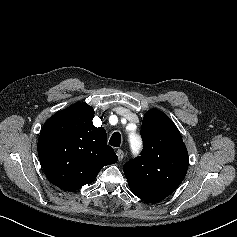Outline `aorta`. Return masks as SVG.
Masks as SVG:
<instances>
[{
  "label": "aorta",
  "instance_id": "1",
  "mask_svg": "<svg viewBox=\"0 0 237 237\" xmlns=\"http://www.w3.org/2000/svg\"><path fill=\"white\" fill-rule=\"evenodd\" d=\"M130 145L132 151H137L140 147V139L137 135H131L130 136Z\"/></svg>",
  "mask_w": 237,
  "mask_h": 237
}]
</instances>
